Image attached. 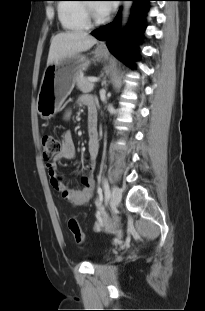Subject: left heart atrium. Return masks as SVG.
Wrapping results in <instances>:
<instances>
[{"label":"left heart atrium","instance_id":"obj_1","mask_svg":"<svg viewBox=\"0 0 205 311\" xmlns=\"http://www.w3.org/2000/svg\"><path fill=\"white\" fill-rule=\"evenodd\" d=\"M107 1H102L100 3L97 4V10L100 14L102 15H107L109 14L112 9H113V5L112 4H109V3H105Z\"/></svg>","mask_w":205,"mask_h":311}]
</instances>
